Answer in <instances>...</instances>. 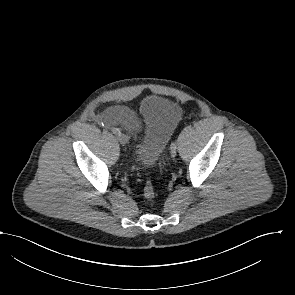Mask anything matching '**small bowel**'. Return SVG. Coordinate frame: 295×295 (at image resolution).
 Here are the masks:
<instances>
[{
    "instance_id": "c3829d8e",
    "label": "small bowel",
    "mask_w": 295,
    "mask_h": 295,
    "mask_svg": "<svg viewBox=\"0 0 295 295\" xmlns=\"http://www.w3.org/2000/svg\"><path fill=\"white\" fill-rule=\"evenodd\" d=\"M99 119L107 126L121 125L129 132H135L141 126V121L134 112L119 106L107 109Z\"/></svg>"
}]
</instances>
